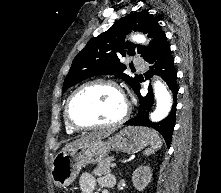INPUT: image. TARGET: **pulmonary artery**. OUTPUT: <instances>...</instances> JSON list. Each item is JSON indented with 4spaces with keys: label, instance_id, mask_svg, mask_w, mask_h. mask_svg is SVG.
I'll list each match as a JSON object with an SVG mask.
<instances>
[{
    "label": "pulmonary artery",
    "instance_id": "e3ab8cb5",
    "mask_svg": "<svg viewBox=\"0 0 221 193\" xmlns=\"http://www.w3.org/2000/svg\"><path fill=\"white\" fill-rule=\"evenodd\" d=\"M134 64L137 66L139 69H144L145 65L142 63V60L135 58L134 59Z\"/></svg>",
    "mask_w": 221,
    "mask_h": 193
}]
</instances>
